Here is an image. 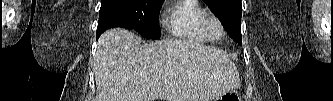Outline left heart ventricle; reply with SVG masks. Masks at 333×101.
<instances>
[{"label":"left heart ventricle","instance_id":"obj_1","mask_svg":"<svg viewBox=\"0 0 333 101\" xmlns=\"http://www.w3.org/2000/svg\"><path fill=\"white\" fill-rule=\"evenodd\" d=\"M211 28H212V30L214 31V32H217L218 31V27H217V25H216V23L215 22H211Z\"/></svg>","mask_w":333,"mask_h":101}]
</instances>
